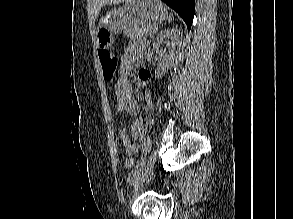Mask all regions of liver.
<instances>
[{
	"label": "liver",
	"mask_w": 293,
	"mask_h": 219,
	"mask_svg": "<svg viewBox=\"0 0 293 219\" xmlns=\"http://www.w3.org/2000/svg\"><path fill=\"white\" fill-rule=\"evenodd\" d=\"M130 1L131 0H93L92 10H93L94 17L96 18L99 15L100 10L104 5L119 4L122 2H130Z\"/></svg>",
	"instance_id": "obj_1"
}]
</instances>
